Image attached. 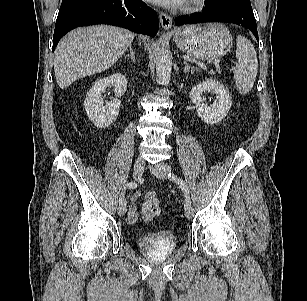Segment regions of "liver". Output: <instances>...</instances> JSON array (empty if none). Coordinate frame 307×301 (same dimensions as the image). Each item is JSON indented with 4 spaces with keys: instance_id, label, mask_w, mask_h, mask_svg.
I'll list each match as a JSON object with an SVG mask.
<instances>
[{
    "instance_id": "liver-1",
    "label": "liver",
    "mask_w": 307,
    "mask_h": 301,
    "mask_svg": "<svg viewBox=\"0 0 307 301\" xmlns=\"http://www.w3.org/2000/svg\"><path fill=\"white\" fill-rule=\"evenodd\" d=\"M129 30L95 25L77 28L63 38L55 49L54 71L61 89L77 79L111 67L134 40Z\"/></svg>"
}]
</instances>
